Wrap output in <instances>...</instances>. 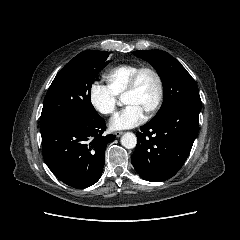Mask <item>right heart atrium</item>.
Here are the masks:
<instances>
[{
  "instance_id": "right-heart-atrium-1",
  "label": "right heart atrium",
  "mask_w": 240,
  "mask_h": 240,
  "mask_svg": "<svg viewBox=\"0 0 240 240\" xmlns=\"http://www.w3.org/2000/svg\"><path fill=\"white\" fill-rule=\"evenodd\" d=\"M89 99L92 106L101 114H113L120 104L118 94L107 84L94 81L89 87Z\"/></svg>"
}]
</instances>
